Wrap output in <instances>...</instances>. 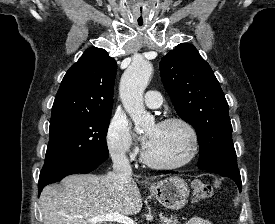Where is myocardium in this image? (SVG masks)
Wrapping results in <instances>:
<instances>
[{"label": "myocardium", "mask_w": 275, "mask_h": 224, "mask_svg": "<svg viewBox=\"0 0 275 224\" xmlns=\"http://www.w3.org/2000/svg\"><path fill=\"white\" fill-rule=\"evenodd\" d=\"M180 124L182 125L189 133L190 139H191V149L188 154V156L183 159L180 162L177 163H163L155 160L149 153L148 149L144 152L143 158L144 161L147 165L150 167L156 168V169H162V170H175L179 169L182 167H185L186 165L190 164L194 158L197 155L198 148H199V139H198V134L194 128V126L187 121L184 118L181 117H167L158 122L157 125L164 126V125H169V124Z\"/></svg>", "instance_id": "obj_1"}]
</instances>
